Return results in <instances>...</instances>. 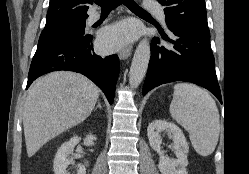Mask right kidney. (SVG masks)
<instances>
[{
  "label": "right kidney",
  "instance_id": "ca27d5eb",
  "mask_svg": "<svg viewBox=\"0 0 249 174\" xmlns=\"http://www.w3.org/2000/svg\"><path fill=\"white\" fill-rule=\"evenodd\" d=\"M80 140V137L74 136L68 142L61 145L54 158V174H70L67 172L66 168L68 165L74 164V161L73 159H70L69 156L73 154L74 147ZM83 140L84 145L92 146L94 145V141H96V136L87 135ZM77 174H86V168L84 165H78Z\"/></svg>",
  "mask_w": 249,
  "mask_h": 174
}]
</instances>
